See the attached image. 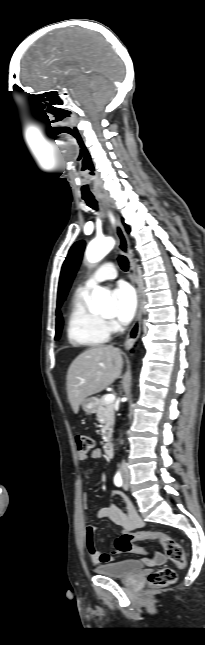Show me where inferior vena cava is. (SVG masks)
Listing matches in <instances>:
<instances>
[{
  "instance_id": "1",
  "label": "inferior vena cava",
  "mask_w": 205,
  "mask_h": 645,
  "mask_svg": "<svg viewBox=\"0 0 205 645\" xmlns=\"http://www.w3.org/2000/svg\"><path fill=\"white\" fill-rule=\"evenodd\" d=\"M121 470H122L123 473L128 472V467H127V464L125 463V461L122 462Z\"/></svg>"
}]
</instances>
